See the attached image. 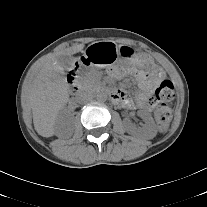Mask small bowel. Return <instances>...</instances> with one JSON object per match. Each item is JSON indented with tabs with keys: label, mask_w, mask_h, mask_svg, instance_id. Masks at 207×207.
<instances>
[{
	"label": "small bowel",
	"mask_w": 207,
	"mask_h": 207,
	"mask_svg": "<svg viewBox=\"0 0 207 207\" xmlns=\"http://www.w3.org/2000/svg\"><path fill=\"white\" fill-rule=\"evenodd\" d=\"M126 72L121 69H112L110 76L114 79H120ZM136 80L139 85V92L135 100H132L125 92L117 90L115 102L122 107L133 109L139 107L145 110H151L154 106L152 101V94L157 84L165 78V73L158 68L154 73H146L141 69L133 70Z\"/></svg>",
	"instance_id": "small-bowel-1"
}]
</instances>
